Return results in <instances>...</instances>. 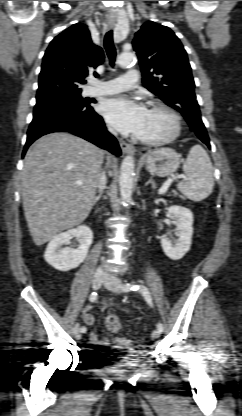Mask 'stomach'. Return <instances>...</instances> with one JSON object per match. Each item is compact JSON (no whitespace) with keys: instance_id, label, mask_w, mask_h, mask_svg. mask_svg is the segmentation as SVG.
Listing matches in <instances>:
<instances>
[{"instance_id":"1","label":"stomach","mask_w":242,"mask_h":416,"mask_svg":"<svg viewBox=\"0 0 242 416\" xmlns=\"http://www.w3.org/2000/svg\"><path fill=\"white\" fill-rule=\"evenodd\" d=\"M144 164L149 172L166 177L178 169L180 156L175 150L163 147L150 151L144 157Z\"/></svg>"}]
</instances>
